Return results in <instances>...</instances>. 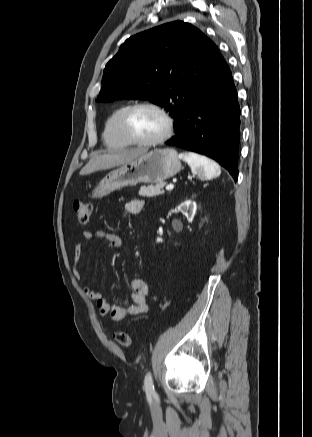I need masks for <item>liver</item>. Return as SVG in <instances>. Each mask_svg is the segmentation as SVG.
Wrapping results in <instances>:
<instances>
[{
	"label": "liver",
	"mask_w": 312,
	"mask_h": 437,
	"mask_svg": "<svg viewBox=\"0 0 312 437\" xmlns=\"http://www.w3.org/2000/svg\"><path fill=\"white\" fill-rule=\"evenodd\" d=\"M144 149H130L113 151L109 153H98L82 168L80 175H88L99 170H106L131 162L143 155Z\"/></svg>",
	"instance_id": "6515ba94"
}]
</instances>
